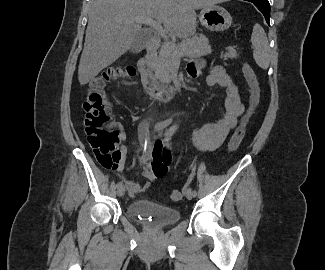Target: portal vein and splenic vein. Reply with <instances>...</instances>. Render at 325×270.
<instances>
[{
	"instance_id": "1",
	"label": "portal vein and splenic vein",
	"mask_w": 325,
	"mask_h": 270,
	"mask_svg": "<svg viewBox=\"0 0 325 270\" xmlns=\"http://www.w3.org/2000/svg\"><path fill=\"white\" fill-rule=\"evenodd\" d=\"M136 23H143L146 25H149L151 27H153L158 33L159 35L164 38L165 40H168L167 38V32L163 29L161 22L160 21H156L153 18L150 17H137L135 19Z\"/></svg>"
}]
</instances>
